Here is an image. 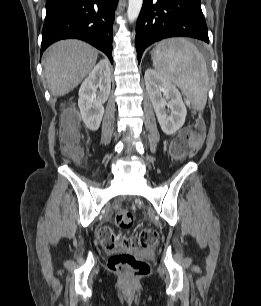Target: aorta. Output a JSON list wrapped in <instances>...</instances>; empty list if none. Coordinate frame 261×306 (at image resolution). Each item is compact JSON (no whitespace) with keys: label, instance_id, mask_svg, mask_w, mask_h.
I'll return each instance as SVG.
<instances>
[{"label":"aorta","instance_id":"1","mask_svg":"<svg viewBox=\"0 0 261 306\" xmlns=\"http://www.w3.org/2000/svg\"><path fill=\"white\" fill-rule=\"evenodd\" d=\"M143 0H129L128 1V9H127V17L130 23L134 22L140 13L142 7Z\"/></svg>","mask_w":261,"mask_h":306}]
</instances>
